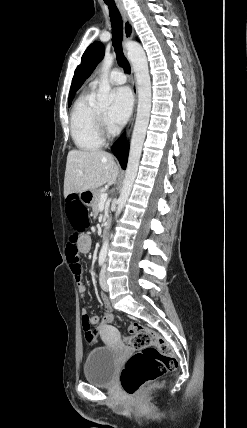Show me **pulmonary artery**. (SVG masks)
<instances>
[{
    "mask_svg": "<svg viewBox=\"0 0 247 428\" xmlns=\"http://www.w3.org/2000/svg\"><path fill=\"white\" fill-rule=\"evenodd\" d=\"M108 80L111 84L121 85V84H124L126 82V76L122 71H120L118 69H114L109 74ZM99 82H100V79H95L90 83V86L92 88H95L99 84Z\"/></svg>",
    "mask_w": 247,
    "mask_h": 428,
    "instance_id": "obj_1",
    "label": "pulmonary artery"
}]
</instances>
